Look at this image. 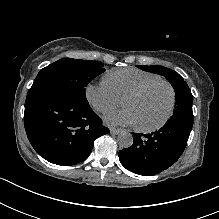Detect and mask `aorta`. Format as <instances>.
<instances>
[{
  "mask_svg": "<svg viewBox=\"0 0 219 219\" xmlns=\"http://www.w3.org/2000/svg\"><path fill=\"white\" fill-rule=\"evenodd\" d=\"M117 142L121 148H129L133 144V137L130 133L123 132L119 134Z\"/></svg>",
  "mask_w": 219,
  "mask_h": 219,
  "instance_id": "obj_1",
  "label": "aorta"
}]
</instances>
